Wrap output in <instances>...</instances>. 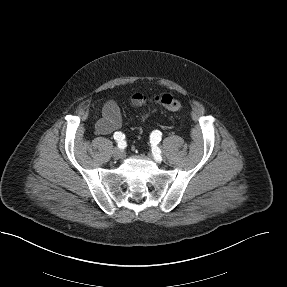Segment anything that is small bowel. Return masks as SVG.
Segmentation results:
<instances>
[{"label":"small bowel","instance_id":"small-bowel-1","mask_svg":"<svg viewBox=\"0 0 287 287\" xmlns=\"http://www.w3.org/2000/svg\"><path fill=\"white\" fill-rule=\"evenodd\" d=\"M121 122L120 108L115 101L111 100L104 105L102 115L95 124V130L101 135L111 134L120 128Z\"/></svg>","mask_w":287,"mask_h":287}]
</instances>
